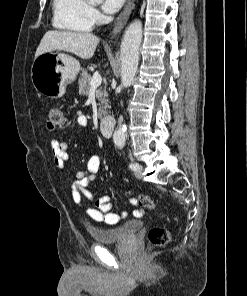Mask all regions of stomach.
Listing matches in <instances>:
<instances>
[{
  "label": "stomach",
  "instance_id": "1",
  "mask_svg": "<svg viewBox=\"0 0 247 296\" xmlns=\"http://www.w3.org/2000/svg\"><path fill=\"white\" fill-rule=\"evenodd\" d=\"M80 63L64 53L47 52L39 55L31 67V79L36 91L51 99L65 94L66 85L74 81Z\"/></svg>",
  "mask_w": 247,
  "mask_h": 296
}]
</instances>
